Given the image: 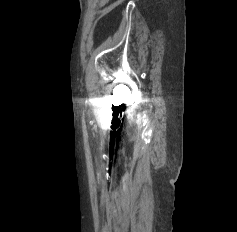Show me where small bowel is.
Segmentation results:
<instances>
[{
	"instance_id": "1",
	"label": "small bowel",
	"mask_w": 237,
	"mask_h": 232,
	"mask_svg": "<svg viewBox=\"0 0 237 232\" xmlns=\"http://www.w3.org/2000/svg\"><path fill=\"white\" fill-rule=\"evenodd\" d=\"M107 2H108V0H100V3H101L102 5L106 4Z\"/></svg>"
}]
</instances>
